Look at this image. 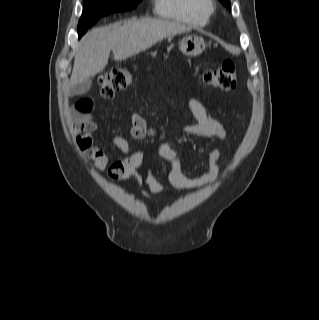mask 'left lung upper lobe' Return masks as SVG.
I'll return each mask as SVG.
<instances>
[{"mask_svg":"<svg viewBox=\"0 0 319 320\" xmlns=\"http://www.w3.org/2000/svg\"><path fill=\"white\" fill-rule=\"evenodd\" d=\"M219 1L222 2L227 9L231 10L230 0H219Z\"/></svg>","mask_w":319,"mask_h":320,"instance_id":"5c2ea615","label":"left lung upper lobe"}]
</instances>
